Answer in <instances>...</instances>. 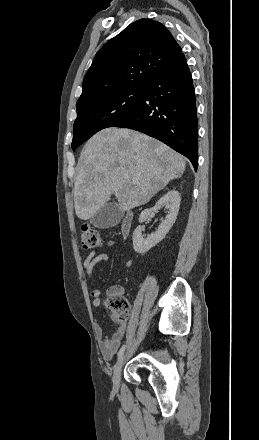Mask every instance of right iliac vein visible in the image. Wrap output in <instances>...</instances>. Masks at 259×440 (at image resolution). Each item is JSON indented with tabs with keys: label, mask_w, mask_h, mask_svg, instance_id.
<instances>
[{
	"label": "right iliac vein",
	"mask_w": 259,
	"mask_h": 440,
	"mask_svg": "<svg viewBox=\"0 0 259 440\" xmlns=\"http://www.w3.org/2000/svg\"><path fill=\"white\" fill-rule=\"evenodd\" d=\"M124 361H125V354H122V356L119 358V360H118V362H117V364L115 365V368H114L113 384H114L115 388L119 387L121 371H122V367L124 365Z\"/></svg>",
	"instance_id": "right-iliac-vein-1"
}]
</instances>
